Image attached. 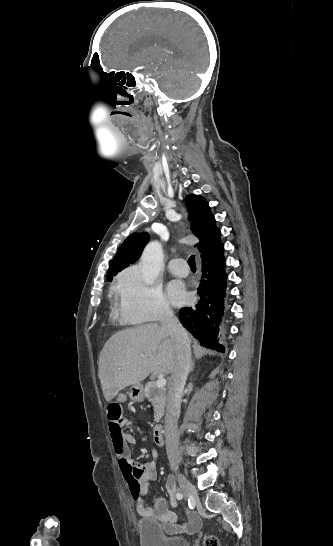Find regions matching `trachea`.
<instances>
[{
  "label": "trachea",
  "mask_w": 333,
  "mask_h": 546,
  "mask_svg": "<svg viewBox=\"0 0 333 546\" xmlns=\"http://www.w3.org/2000/svg\"><path fill=\"white\" fill-rule=\"evenodd\" d=\"M188 264L192 269H196L195 257L191 255L188 259Z\"/></svg>",
  "instance_id": "3493384b"
}]
</instances>
